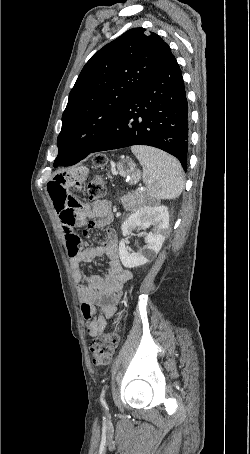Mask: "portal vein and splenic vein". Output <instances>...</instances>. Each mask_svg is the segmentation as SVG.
<instances>
[{"mask_svg": "<svg viewBox=\"0 0 250 454\" xmlns=\"http://www.w3.org/2000/svg\"><path fill=\"white\" fill-rule=\"evenodd\" d=\"M144 190V188H139L138 191L142 192Z\"/></svg>", "mask_w": 250, "mask_h": 454, "instance_id": "portal-vein-and-splenic-vein-1", "label": "portal vein and splenic vein"}]
</instances>
